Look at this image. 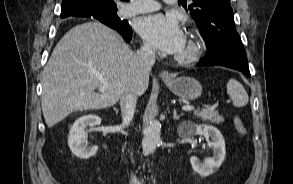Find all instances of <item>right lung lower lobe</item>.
I'll use <instances>...</instances> for the list:
<instances>
[{
	"label": "right lung lower lobe",
	"instance_id": "obj_1",
	"mask_svg": "<svg viewBox=\"0 0 293 184\" xmlns=\"http://www.w3.org/2000/svg\"><path fill=\"white\" fill-rule=\"evenodd\" d=\"M80 17H92L108 25L109 27L116 29L127 42H129L132 38V30L126 20L107 18L101 12H95Z\"/></svg>",
	"mask_w": 293,
	"mask_h": 184
}]
</instances>
